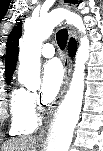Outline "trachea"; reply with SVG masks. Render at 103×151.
<instances>
[{"instance_id":"3493384b","label":"trachea","mask_w":103,"mask_h":151,"mask_svg":"<svg viewBox=\"0 0 103 151\" xmlns=\"http://www.w3.org/2000/svg\"><path fill=\"white\" fill-rule=\"evenodd\" d=\"M57 43L60 47V49L64 50L67 40H68V32L66 29H62L57 32L56 34Z\"/></svg>"}]
</instances>
